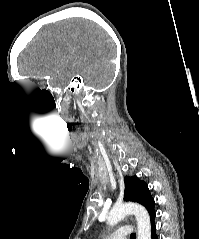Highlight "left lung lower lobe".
<instances>
[{"label": "left lung lower lobe", "instance_id": "1", "mask_svg": "<svg viewBox=\"0 0 199 239\" xmlns=\"http://www.w3.org/2000/svg\"><path fill=\"white\" fill-rule=\"evenodd\" d=\"M155 213L150 215V221H151V235L152 239H158V236L156 235V226H155Z\"/></svg>", "mask_w": 199, "mask_h": 239}]
</instances>
